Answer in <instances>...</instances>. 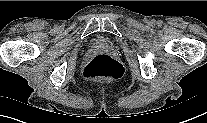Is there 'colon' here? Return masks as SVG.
I'll use <instances>...</instances> for the list:
<instances>
[{
    "label": "colon",
    "instance_id": "1",
    "mask_svg": "<svg viewBox=\"0 0 207 123\" xmlns=\"http://www.w3.org/2000/svg\"><path fill=\"white\" fill-rule=\"evenodd\" d=\"M120 63L106 54L93 57L84 67L83 75L87 79H112L123 74Z\"/></svg>",
    "mask_w": 207,
    "mask_h": 123
}]
</instances>
